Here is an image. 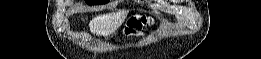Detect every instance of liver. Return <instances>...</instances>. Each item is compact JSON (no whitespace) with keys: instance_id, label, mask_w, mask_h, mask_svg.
I'll list each match as a JSON object with an SVG mask.
<instances>
[{"instance_id":"1","label":"liver","mask_w":261,"mask_h":59,"mask_svg":"<svg viewBox=\"0 0 261 59\" xmlns=\"http://www.w3.org/2000/svg\"><path fill=\"white\" fill-rule=\"evenodd\" d=\"M125 19L124 15L108 14L97 16L89 23L90 30L98 35L115 32Z\"/></svg>"}]
</instances>
